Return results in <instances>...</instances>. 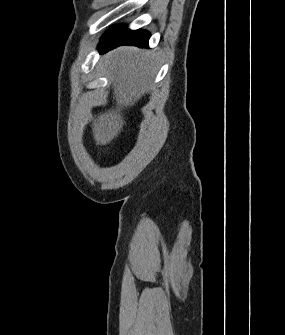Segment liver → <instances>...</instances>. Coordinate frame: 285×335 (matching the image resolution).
I'll return each instance as SVG.
<instances>
[{"label":"liver","instance_id":"obj_1","mask_svg":"<svg viewBox=\"0 0 285 335\" xmlns=\"http://www.w3.org/2000/svg\"><path fill=\"white\" fill-rule=\"evenodd\" d=\"M106 62L108 76L114 86L116 108L100 114L93 122V136L100 146H106L117 138L125 124L121 108L126 110L128 106H134L141 96L148 94L158 66L150 52L126 46L106 54Z\"/></svg>","mask_w":285,"mask_h":335}]
</instances>
